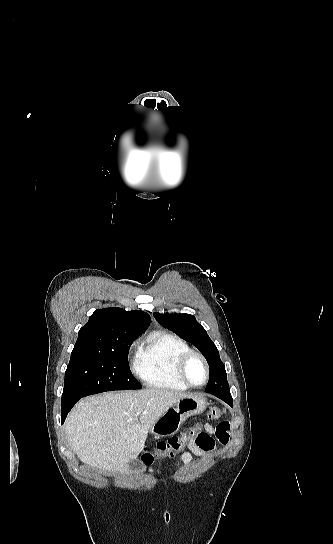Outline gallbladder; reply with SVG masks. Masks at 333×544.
Masks as SVG:
<instances>
[{
    "label": "gallbladder",
    "mask_w": 333,
    "mask_h": 544,
    "mask_svg": "<svg viewBox=\"0 0 333 544\" xmlns=\"http://www.w3.org/2000/svg\"><path fill=\"white\" fill-rule=\"evenodd\" d=\"M130 467L137 468L138 470H143V465L141 463H138L137 461H131L129 463Z\"/></svg>",
    "instance_id": "bac80fb5"
}]
</instances>
